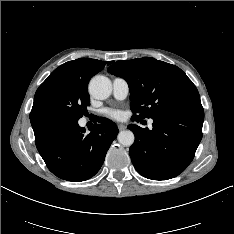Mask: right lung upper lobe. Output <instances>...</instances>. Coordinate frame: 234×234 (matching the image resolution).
<instances>
[{
    "instance_id": "cb5924a9",
    "label": "right lung upper lobe",
    "mask_w": 234,
    "mask_h": 234,
    "mask_svg": "<svg viewBox=\"0 0 234 234\" xmlns=\"http://www.w3.org/2000/svg\"><path fill=\"white\" fill-rule=\"evenodd\" d=\"M107 62L91 58H80L66 62L56 68L39 88L56 80H68L88 87V82L100 72Z\"/></svg>"
}]
</instances>
